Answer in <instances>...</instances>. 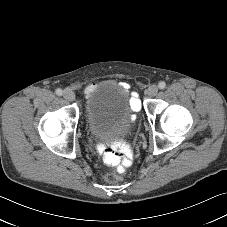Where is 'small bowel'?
I'll list each match as a JSON object with an SVG mask.
<instances>
[{
    "label": "small bowel",
    "mask_w": 227,
    "mask_h": 227,
    "mask_svg": "<svg viewBox=\"0 0 227 227\" xmlns=\"http://www.w3.org/2000/svg\"><path fill=\"white\" fill-rule=\"evenodd\" d=\"M122 88L124 89H129V85L127 83H121ZM96 87V84H89L85 88V93L89 94L94 88ZM131 104L134 108H137L139 106V101L136 98V94H133V98L131 101ZM124 153V158L122 159L121 162L117 163L116 165L119 166L120 169H123L124 167L128 166L130 164V158H129V153L128 152H123Z\"/></svg>",
    "instance_id": "1"
}]
</instances>
